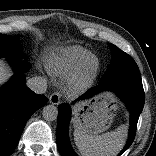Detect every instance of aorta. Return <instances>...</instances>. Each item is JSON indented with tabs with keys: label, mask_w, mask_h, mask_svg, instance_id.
<instances>
[{
	"label": "aorta",
	"mask_w": 156,
	"mask_h": 156,
	"mask_svg": "<svg viewBox=\"0 0 156 156\" xmlns=\"http://www.w3.org/2000/svg\"><path fill=\"white\" fill-rule=\"evenodd\" d=\"M42 116L46 121H54L58 117V109L54 105H46L42 110Z\"/></svg>",
	"instance_id": "1"
}]
</instances>
